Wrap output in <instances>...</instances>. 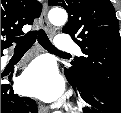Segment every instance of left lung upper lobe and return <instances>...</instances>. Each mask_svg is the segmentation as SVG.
Masks as SVG:
<instances>
[{
	"label": "left lung upper lobe",
	"mask_w": 121,
	"mask_h": 113,
	"mask_svg": "<svg viewBox=\"0 0 121 113\" xmlns=\"http://www.w3.org/2000/svg\"><path fill=\"white\" fill-rule=\"evenodd\" d=\"M66 9L69 21L62 32L70 34L83 56L66 69L68 80L104 83L121 94V38L115 9L109 0H48Z\"/></svg>",
	"instance_id": "left-lung-upper-lobe-1"
}]
</instances>
